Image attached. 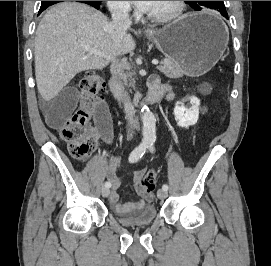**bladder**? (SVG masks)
I'll return each instance as SVG.
<instances>
[{
	"instance_id": "obj_1",
	"label": "bladder",
	"mask_w": 271,
	"mask_h": 266,
	"mask_svg": "<svg viewBox=\"0 0 271 266\" xmlns=\"http://www.w3.org/2000/svg\"><path fill=\"white\" fill-rule=\"evenodd\" d=\"M156 217L157 211L154 206H147L132 217L116 216L118 222L126 226H147L150 225Z\"/></svg>"
}]
</instances>
